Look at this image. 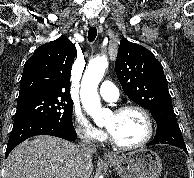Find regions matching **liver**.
I'll use <instances>...</instances> for the list:
<instances>
[{
	"label": "liver",
	"instance_id": "liver-1",
	"mask_svg": "<svg viewBox=\"0 0 194 178\" xmlns=\"http://www.w3.org/2000/svg\"><path fill=\"white\" fill-rule=\"evenodd\" d=\"M92 171L91 157L84 159L77 145L41 135L21 143L9 154L5 178H89Z\"/></svg>",
	"mask_w": 194,
	"mask_h": 178
}]
</instances>
